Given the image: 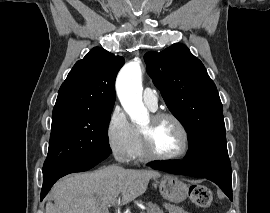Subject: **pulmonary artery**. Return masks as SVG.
<instances>
[{
  "label": "pulmonary artery",
  "instance_id": "1",
  "mask_svg": "<svg viewBox=\"0 0 270 213\" xmlns=\"http://www.w3.org/2000/svg\"><path fill=\"white\" fill-rule=\"evenodd\" d=\"M143 101L150 109L155 110L158 104L156 92L151 88H145L143 92Z\"/></svg>",
  "mask_w": 270,
  "mask_h": 213
}]
</instances>
